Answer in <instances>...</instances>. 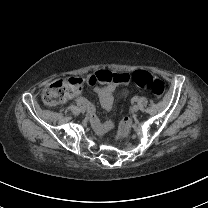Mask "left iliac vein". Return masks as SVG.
Here are the masks:
<instances>
[{
	"mask_svg": "<svg viewBox=\"0 0 208 208\" xmlns=\"http://www.w3.org/2000/svg\"><path fill=\"white\" fill-rule=\"evenodd\" d=\"M138 110H139V106H138V105H133V106L131 107V112H132V113H136V112H138Z\"/></svg>",
	"mask_w": 208,
	"mask_h": 208,
	"instance_id": "4c4485c4",
	"label": "left iliac vein"
}]
</instances>
